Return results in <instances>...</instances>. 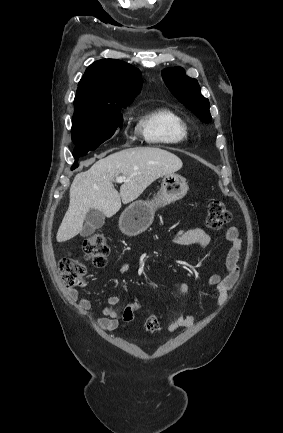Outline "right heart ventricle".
Returning a JSON list of instances; mask_svg holds the SVG:
<instances>
[{
	"label": "right heart ventricle",
	"mask_w": 283,
	"mask_h": 433,
	"mask_svg": "<svg viewBox=\"0 0 283 433\" xmlns=\"http://www.w3.org/2000/svg\"><path fill=\"white\" fill-rule=\"evenodd\" d=\"M135 130L149 143L177 144L188 136V127L183 118L169 109H156L137 115Z\"/></svg>",
	"instance_id": "obj_1"
}]
</instances>
